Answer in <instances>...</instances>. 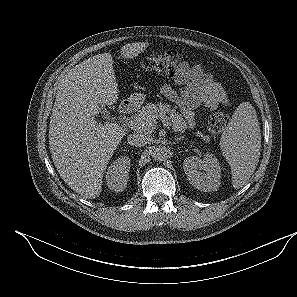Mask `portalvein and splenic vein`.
Listing matches in <instances>:
<instances>
[{
	"mask_svg": "<svg viewBox=\"0 0 297 297\" xmlns=\"http://www.w3.org/2000/svg\"><path fill=\"white\" fill-rule=\"evenodd\" d=\"M128 124L131 125V126H133L135 124V122L132 121V120H128Z\"/></svg>",
	"mask_w": 297,
	"mask_h": 297,
	"instance_id": "1",
	"label": "portal vein and splenic vein"
}]
</instances>
